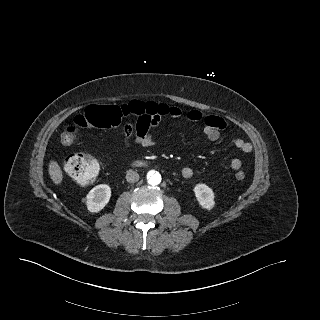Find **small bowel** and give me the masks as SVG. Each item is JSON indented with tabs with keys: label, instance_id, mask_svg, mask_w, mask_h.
Returning a JSON list of instances; mask_svg holds the SVG:
<instances>
[{
	"label": "small bowel",
	"instance_id": "1",
	"mask_svg": "<svg viewBox=\"0 0 320 320\" xmlns=\"http://www.w3.org/2000/svg\"><path fill=\"white\" fill-rule=\"evenodd\" d=\"M160 106H164L165 108L164 112L160 113V117L162 115H168L169 117L176 119L182 116V111L178 107L168 105ZM158 114V111L151 112L149 110H145L143 113V118L145 121L144 124L138 126L136 123L135 128L131 124H126L123 127L125 145L128 147L131 145L132 137L135 133L133 139L134 143L142 147H152L156 143L152 135V130L157 126L158 121L160 120V117L158 121L154 120ZM185 117L191 122H203L205 137L210 142L218 140L220 137V131L225 128V122L221 118L216 116H206L197 110H190L186 112ZM234 146L245 154L250 153L252 150V145L240 138L234 141ZM241 166L242 161L239 158H234L230 162V167L233 170H238L241 168ZM182 176L186 179L191 178L193 176V169L185 167L182 170Z\"/></svg>",
	"mask_w": 320,
	"mask_h": 320
}]
</instances>
